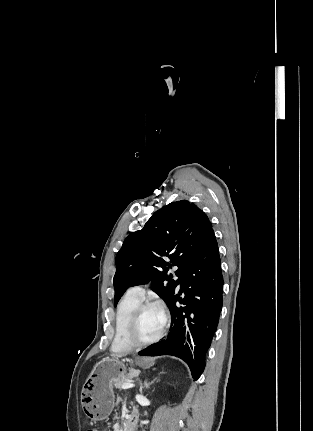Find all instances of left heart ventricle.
I'll return each instance as SVG.
<instances>
[{"instance_id":"1","label":"left heart ventricle","mask_w":313,"mask_h":431,"mask_svg":"<svg viewBox=\"0 0 313 431\" xmlns=\"http://www.w3.org/2000/svg\"><path fill=\"white\" fill-rule=\"evenodd\" d=\"M163 325V317L156 307L146 308L140 318L138 337L142 340L153 338Z\"/></svg>"}]
</instances>
